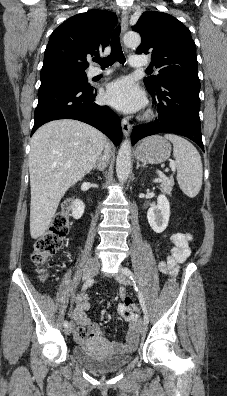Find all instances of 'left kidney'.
<instances>
[{
    "mask_svg": "<svg viewBox=\"0 0 227 396\" xmlns=\"http://www.w3.org/2000/svg\"><path fill=\"white\" fill-rule=\"evenodd\" d=\"M170 218V204L165 195H159L157 205L147 211L149 225L156 233H162L168 226Z\"/></svg>",
    "mask_w": 227,
    "mask_h": 396,
    "instance_id": "5707ae66",
    "label": "left kidney"
}]
</instances>
